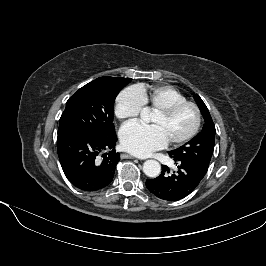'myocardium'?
<instances>
[{
    "instance_id": "myocardium-1",
    "label": "myocardium",
    "mask_w": 266,
    "mask_h": 266,
    "mask_svg": "<svg viewBox=\"0 0 266 266\" xmlns=\"http://www.w3.org/2000/svg\"><path fill=\"white\" fill-rule=\"evenodd\" d=\"M187 107L191 108L194 111L195 122H194L192 129L189 131V133H187L185 136L179 139L170 141V144L174 146L183 145L189 142L191 139H193L196 136V134L198 133L200 129L201 122H202V115H201L200 108L194 102L185 101V102L170 105L163 109H159L155 112L163 117H170L174 115L175 113H177L178 111H180L181 109L187 108Z\"/></svg>"
}]
</instances>
